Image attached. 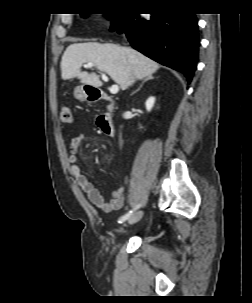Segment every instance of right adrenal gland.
I'll use <instances>...</instances> for the list:
<instances>
[{
  "label": "right adrenal gland",
  "mask_w": 252,
  "mask_h": 303,
  "mask_svg": "<svg viewBox=\"0 0 252 303\" xmlns=\"http://www.w3.org/2000/svg\"><path fill=\"white\" fill-rule=\"evenodd\" d=\"M151 79H153L152 76H147V77L144 79V81L142 82V84L140 85V87H139L136 91H134V92L131 94V96L134 95L137 91H139V90L141 89L142 85H143L146 81L151 80Z\"/></svg>",
  "instance_id": "2a0ac1e0"
}]
</instances>
